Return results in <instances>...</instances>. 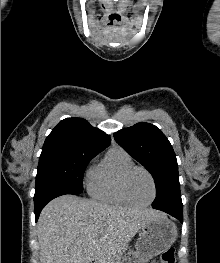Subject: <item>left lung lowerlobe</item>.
<instances>
[{
    "label": "left lung lower lobe",
    "instance_id": "1",
    "mask_svg": "<svg viewBox=\"0 0 220 263\" xmlns=\"http://www.w3.org/2000/svg\"><path fill=\"white\" fill-rule=\"evenodd\" d=\"M164 212H167L168 214L174 216L175 218L179 219L181 222H183V211H177V210H166Z\"/></svg>",
    "mask_w": 220,
    "mask_h": 263
}]
</instances>
